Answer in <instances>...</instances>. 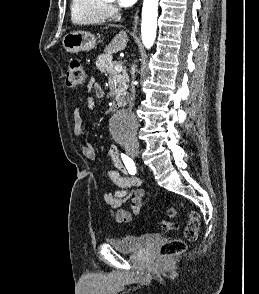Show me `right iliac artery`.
I'll return each mask as SVG.
<instances>
[{
    "mask_svg": "<svg viewBox=\"0 0 259 294\" xmlns=\"http://www.w3.org/2000/svg\"><path fill=\"white\" fill-rule=\"evenodd\" d=\"M121 157H122V160H123L126 168L128 169V172L131 175H134L136 173V171H137L135 162L125 154H121Z\"/></svg>",
    "mask_w": 259,
    "mask_h": 294,
    "instance_id": "1",
    "label": "right iliac artery"
}]
</instances>
